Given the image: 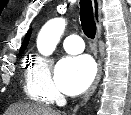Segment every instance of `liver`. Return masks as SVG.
Here are the masks:
<instances>
[{"label": "liver", "mask_w": 131, "mask_h": 115, "mask_svg": "<svg viewBox=\"0 0 131 115\" xmlns=\"http://www.w3.org/2000/svg\"><path fill=\"white\" fill-rule=\"evenodd\" d=\"M5 115H58L48 106L37 104H14Z\"/></svg>", "instance_id": "1"}]
</instances>
